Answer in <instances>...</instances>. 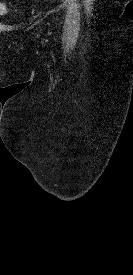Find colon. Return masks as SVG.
<instances>
[{"mask_svg": "<svg viewBox=\"0 0 133 275\" xmlns=\"http://www.w3.org/2000/svg\"><path fill=\"white\" fill-rule=\"evenodd\" d=\"M7 10V6L3 2H0V15L7 13Z\"/></svg>", "mask_w": 133, "mask_h": 275, "instance_id": "5ec220e1", "label": "colon"}]
</instances>
